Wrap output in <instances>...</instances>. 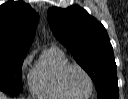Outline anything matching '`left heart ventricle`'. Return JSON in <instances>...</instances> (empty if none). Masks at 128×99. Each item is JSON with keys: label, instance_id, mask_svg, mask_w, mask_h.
Segmentation results:
<instances>
[{"label": "left heart ventricle", "instance_id": "obj_1", "mask_svg": "<svg viewBox=\"0 0 128 99\" xmlns=\"http://www.w3.org/2000/svg\"><path fill=\"white\" fill-rule=\"evenodd\" d=\"M65 81L69 91L74 95L85 96L90 90L88 79L77 68L68 71Z\"/></svg>", "mask_w": 128, "mask_h": 99}]
</instances>
